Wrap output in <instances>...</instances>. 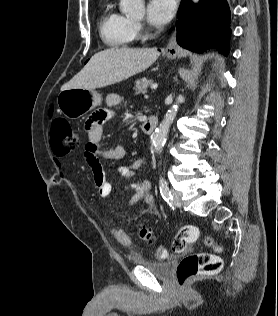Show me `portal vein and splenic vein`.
<instances>
[{
    "label": "portal vein and splenic vein",
    "instance_id": "obj_1",
    "mask_svg": "<svg viewBox=\"0 0 278 316\" xmlns=\"http://www.w3.org/2000/svg\"><path fill=\"white\" fill-rule=\"evenodd\" d=\"M157 87H158V84L157 83H153L152 85H151V89H157Z\"/></svg>",
    "mask_w": 278,
    "mask_h": 316
}]
</instances>
